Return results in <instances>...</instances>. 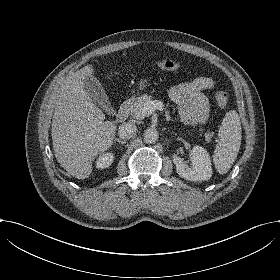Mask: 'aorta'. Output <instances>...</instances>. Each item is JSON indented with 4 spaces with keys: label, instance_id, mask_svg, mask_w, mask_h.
Segmentation results:
<instances>
[{
    "label": "aorta",
    "instance_id": "1",
    "mask_svg": "<svg viewBox=\"0 0 280 280\" xmlns=\"http://www.w3.org/2000/svg\"><path fill=\"white\" fill-rule=\"evenodd\" d=\"M143 136L146 143H155L158 140V132L154 129H146Z\"/></svg>",
    "mask_w": 280,
    "mask_h": 280
}]
</instances>
